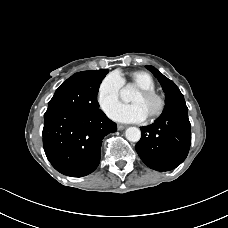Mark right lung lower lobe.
<instances>
[{"mask_svg": "<svg viewBox=\"0 0 228 228\" xmlns=\"http://www.w3.org/2000/svg\"><path fill=\"white\" fill-rule=\"evenodd\" d=\"M116 130V123L100 109L93 112L49 110L44 114V151L57 171L82 177L97 168L102 139Z\"/></svg>", "mask_w": 228, "mask_h": 228, "instance_id": "obj_1", "label": "right lung lower lobe"}]
</instances>
